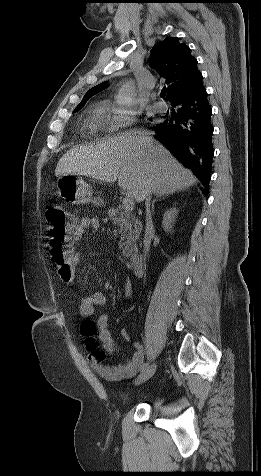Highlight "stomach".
I'll use <instances>...</instances> for the list:
<instances>
[{
    "instance_id": "obj_1",
    "label": "stomach",
    "mask_w": 261,
    "mask_h": 476,
    "mask_svg": "<svg viewBox=\"0 0 261 476\" xmlns=\"http://www.w3.org/2000/svg\"><path fill=\"white\" fill-rule=\"evenodd\" d=\"M57 186L62 197L72 202L73 204L101 202V199L99 197H92V187L79 175H62L57 181Z\"/></svg>"
}]
</instances>
